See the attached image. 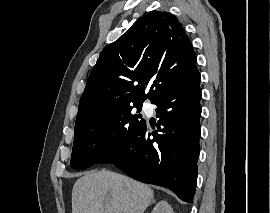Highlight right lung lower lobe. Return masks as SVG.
<instances>
[{
    "mask_svg": "<svg viewBox=\"0 0 270 213\" xmlns=\"http://www.w3.org/2000/svg\"><path fill=\"white\" fill-rule=\"evenodd\" d=\"M200 74L196 68L157 96V129L146 121L99 163L115 164L133 179L170 188L192 203L197 183L201 115ZM153 136V139H150Z\"/></svg>",
    "mask_w": 270,
    "mask_h": 213,
    "instance_id": "98d812e1",
    "label": "right lung lower lobe"
}]
</instances>
